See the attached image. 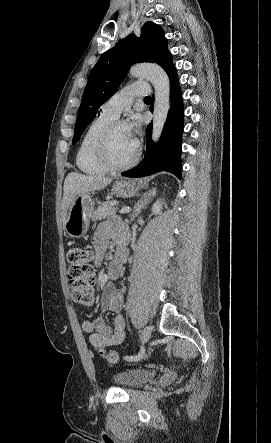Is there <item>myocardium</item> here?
<instances>
[{
	"instance_id": "f54148a6",
	"label": "myocardium",
	"mask_w": 271,
	"mask_h": 443,
	"mask_svg": "<svg viewBox=\"0 0 271 443\" xmlns=\"http://www.w3.org/2000/svg\"><path fill=\"white\" fill-rule=\"evenodd\" d=\"M128 125L126 120L114 119L104 129L97 144V154L100 161L110 171H124L136 164L140 157V145L137 146V151L134 156L125 163H117L113 160L111 155V140L115 130L120 126Z\"/></svg>"
}]
</instances>
